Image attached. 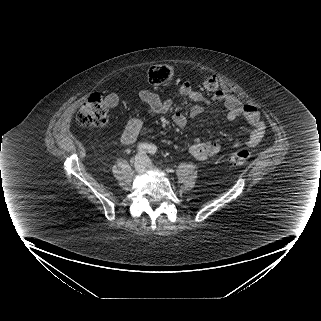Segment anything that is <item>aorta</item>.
Returning <instances> with one entry per match:
<instances>
[{"label": "aorta", "instance_id": "1", "mask_svg": "<svg viewBox=\"0 0 321 321\" xmlns=\"http://www.w3.org/2000/svg\"><path fill=\"white\" fill-rule=\"evenodd\" d=\"M155 150H156L155 146H151V147L149 148V151L152 152V153L155 152Z\"/></svg>", "mask_w": 321, "mask_h": 321}]
</instances>
